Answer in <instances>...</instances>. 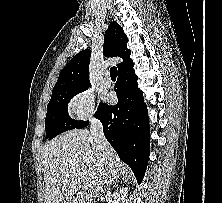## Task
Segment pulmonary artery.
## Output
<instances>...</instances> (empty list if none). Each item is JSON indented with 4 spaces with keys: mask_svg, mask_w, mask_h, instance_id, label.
<instances>
[{
    "mask_svg": "<svg viewBox=\"0 0 222 203\" xmlns=\"http://www.w3.org/2000/svg\"><path fill=\"white\" fill-rule=\"evenodd\" d=\"M102 85L104 87H110L112 84V81L110 79L109 73H106L105 76L103 77L102 81H101Z\"/></svg>",
    "mask_w": 222,
    "mask_h": 203,
    "instance_id": "1",
    "label": "pulmonary artery"
}]
</instances>
